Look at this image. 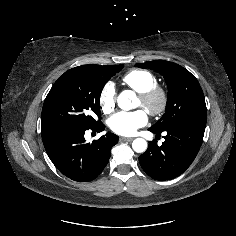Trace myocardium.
I'll return each mask as SVG.
<instances>
[{"instance_id": "f54148a6", "label": "myocardium", "mask_w": 236, "mask_h": 236, "mask_svg": "<svg viewBox=\"0 0 236 236\" xmlns=\"http://www.w3.org/2000/svg\"><path fill=\"white\" fill-rule=\"evenodd\" d=\"M139 98L142 101V107L152 116L163 114L168 105V93L160 86L139 93Z\"/></svg>"}]
</instances>
